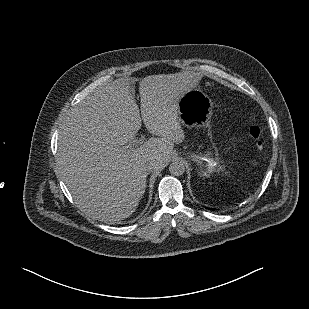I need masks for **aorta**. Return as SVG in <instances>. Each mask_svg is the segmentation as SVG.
Masks as SVG:
<instances>
[{
    "mask_svg": "<svg viewBox=\"0 0 309 309\" xmlns=\"http://www.w3.org/2000/svg\"><path fill=\"white\" fill-rule=\"evenodd\" d=\"M169 172L174 176H181L185 172V166L182 161L176 160L169 166Z\"/></svg>",
    "mask_w": 309,
    "mask_h": 309,
    "instance_id": "aorta-1",
    "label": "aorta"
}]
</instances>
